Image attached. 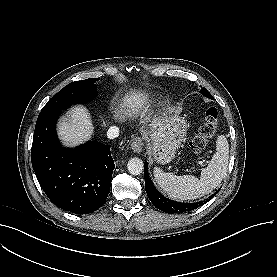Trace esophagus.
Instances as JSON below:
<instances>
[{"mask_svg": "<svg viewBox=\"0 0 277 277\" xmlns=\"http://www.w3.org/2000/svg\"><path fill=\"white\" fill-rule=\"evenodd\" d=\"M131 148L134 152L140 153L143 150L142 138L139 136H136L131 142Z\"/></svg>", "mask_w": 277, "mask_h": 277, "instance_id": "obj_1", "label": "esophagus"}]
</instances>
